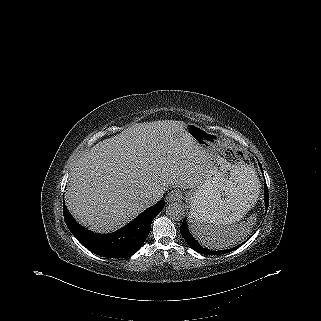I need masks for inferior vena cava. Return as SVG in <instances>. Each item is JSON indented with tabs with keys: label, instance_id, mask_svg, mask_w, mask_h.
<instances>
[{
	"label": "inferior vena cava",
	"instance_id": "1",
	"mask_svg": "<svg viewBox=\"0 0 321 321\" xmlns=\"http://www.w3.org/2000/svg\"><path fill=\"white\" fill-rule=\"evenodd\" d=\"M163 194L162 193H153L151 195H147L144 198V203L150 207L154 205L157 201H159L162 198Z\"/></svg>",
	"mask_w": 321,
	"mask_h": 321
}]
</instances>
